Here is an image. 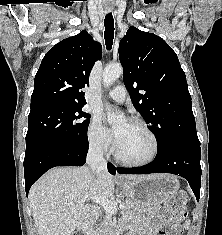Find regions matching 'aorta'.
<instances>
[{"label": "aorta", "instance_id": "1", "mask_svg": "<svg viewBox=\"0 0 222 235\" xmlns=\"http://www.w3.org/2000/svg\"><path fill=\"white\" fill-rule=\"evenodd\" d=\"M123 73V68L120 64H111L105 67L103 71V83L106 87L115 82ZM123 120L122 115L111 114L108 116L110 124H117Z\"/></svg>", "mask_w": 222, "mask_h": 235}]
</instances>
